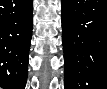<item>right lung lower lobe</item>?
<instances>
[{
    "label": "right lung lower lobe",
    "mask_w": 107,
    "mask_h": 89,
    "mask_svg": "<svg viewBox=\"0 0 107 89\" xmlns=\"http://www.w3.org/2000/svg\"><path fill=\"white\" fill-rule=\"evenodd\" d=\"M33 27V0H0V86L24 89Z\"/></svg>",
    "instance_id": "obj_1"
}]
</instances>
